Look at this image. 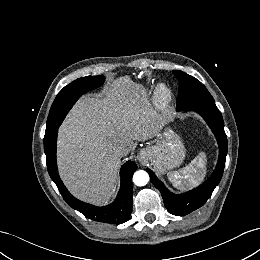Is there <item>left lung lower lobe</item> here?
I'll list each match as a JSON object with an SVG mask.
<instances>
[{"label": "left lung lower lobe", "instance_id": "left-lung-lower-lobe-1", "mask_svg": "<svg viewBox=\"0 0 260 260\" xmlns=\"http://www.w3.org/2000/svg\"><path fill=\"white\" fill-rule=\"evenodd\" d=\"M178 111L193 110L200 114L213 131L219 145V158L217 166L209 179L194 190L181 195H175L167 190L155 174L147 169L151 182L161 192L167 210L177 216H183L201 207L211 196L215 187L219 184L225 166L227 155V137L224 132L222 115L215 104H193Z\"/></svg>", "mask_w": 260, "mask_h": 260}]
</instances>
